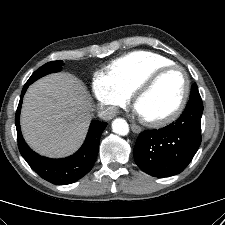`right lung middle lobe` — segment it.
Wrapping results in <instances>:
<instances>
[{"label":"right lung middle lobe","mask_w":225,"mask_h":225,"mask_svg":"<svg viewBox=\"0 0 225 225\" xmlns=\"http://www.w3.org/2000/svg\"><path fill=\"white\" fill-rule=\"evenodd\" d=\"M62 61H51L40 67L35 71L27 82L33 83L38 78L53 72H59L61 70Z\"/></svg>","instance_id":"right-lung-middle-lobe-1"}]
</instances>
